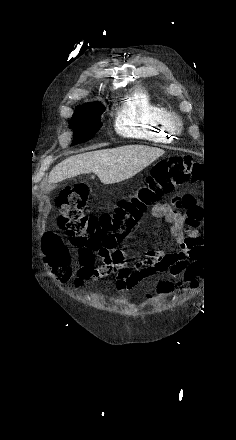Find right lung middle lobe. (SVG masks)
<instances>
[{"label": "right lung middle lobe", "instance_id": "right-lung-middle-lobe-1", "mask_svg": "<svg viewBox=\"0 0 236 440\" xmlns=\"http://www.w3.org/2000/svg\"><path fill=\"white\" fill-rule=\"evenodd\" d=\"M104 106L100 103H88L78 106L69 124L74 130L73 144L83 143L91 139L101 128V114Z\"/></svg>", "mask_w": 236, "mask_h": 440}]
</instances>
